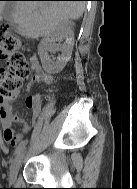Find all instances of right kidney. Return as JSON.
Wrapping results in <instances>:
<instances>
[{"mask_svg": "<svg viewBox=\"0 0 137 189\" xmlns=\"http://www.w3.org/2000/svg\"><path fill=\"white\" fill-rule=\"evenodd\" d=\"M63 40L64 43L61 44L60 42ZM73 45L74 32L67 22L60 25L51 34L45 36L38 45V54L44 70L50 74L62 71L71 58ZM58 51H60L61 54L56 60L50 57L49 53H56Z\"/></svg>", "mask_w": 137, "mask_h": 189, "instance_id": "obj_1", "label": "right kidney"}]
</instances>
